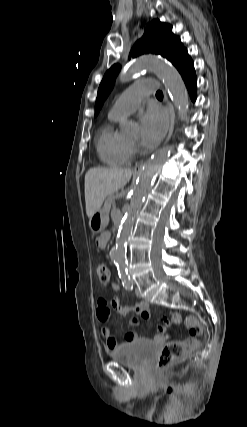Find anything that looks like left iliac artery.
<instances>
[{"instance_id":"1","label":"left iliac artery","mask_w":247,"mask_h":427,"mask_svg":"<svg viewBox=\"0 0 247 427\" xmlns=\"http://www.w3.org/2000/svg\"><path fill=\"white\" fill-rule=\"evenodd\" d=\"M120 279L122 280V285L127 289V290H132L133 289V284L130 278V275L126 272L123 274L119 275Z\"/></svg>"}]
</instances>
